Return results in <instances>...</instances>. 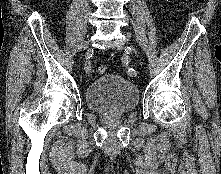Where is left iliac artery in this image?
Segmentation results:
<instances>
[{"label": "left iliac artery", "mask_w": 221, "mask_h": 174, "mask_svg": "<svg viewBox=\"0 0 221 174\" xmlns=\"http://www.w3.org/2000/svg\"><path fill=\"white\" fill-rule=\"evenodd\" d=\"M121 62L127 68L128 74L130 76L136 75V70L129 66L130 65V57L128 55H122Z\"/></svg>", "instance_id": "1"}]
</instances>
